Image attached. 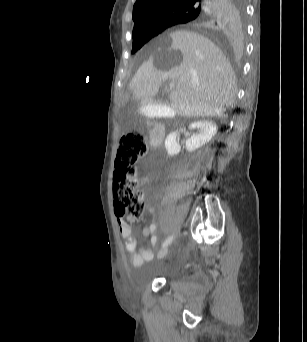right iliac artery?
<instances>
[{"label": "right iliac artery", "mask_w": 307, "mask_h": 342, "mask_svg": "<svg viewBox=\"0 0 307 342\" xmlns=\"http://www.w3.org/2000/svg\"><path fill=\"white\" fill-rule=\"evenodd\" d=\"M173 240V235L169 236L162 244V247L168 246Z\"/></svg>", "instance_id": "right-iliac-artery-1"}]
</instances>
